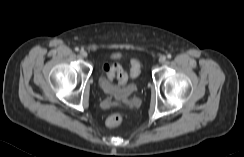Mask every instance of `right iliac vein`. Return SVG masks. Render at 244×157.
I'll list each match as a JSON object with an SVG mask.
<instances>
[{"mask_svg":"<svg viewBox=\"0 0 244 157\" xmlns=\"http://www.w3.org/2000/svg\"><path fill=\"white\" fill-rule=\"evenodd\" d=\"M80 56H81L82 58H86V57H87V52H86L85 50H81V51H80Z\"/></svg>","mask_w":244,"mask_h":157,"instance_id":"1","label":"right iliac vein"}]
</instances>
